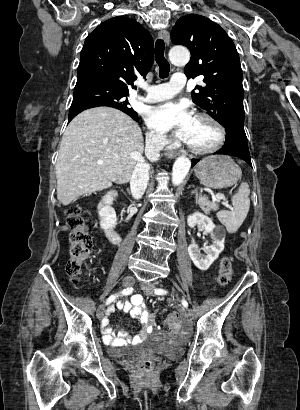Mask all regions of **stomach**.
I'll return each mask as SVG.
<instances>
[{"mask_svg": "<svg viewBox=\"0 0 300 410\" xmlns=\"http://www.w3.org/2000/svg\"><path fill=\"white\" fill-rule=\"evenodd\" d=\"M200 183L210 188H225L235 184L241 176L238 165L224 155L211 156L195 167Z\"/></svg>", "mask_w": 300, "mask_h": 410, "instance_id": "stomach-1", "label": "stomach"}]
</instances>
